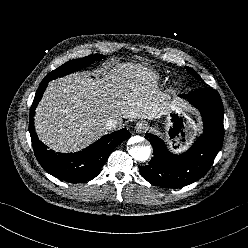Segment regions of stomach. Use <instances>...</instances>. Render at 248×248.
Instances as JSON below:
<instances>
[{"mask_svg":"<svg viewBox=\"0 0 248 248\" xmlns=\"http://www.w3.org/2000/svg\"><path fill=\"white\" fill-rule=\"evenodd\" d=\"M197 127L196 122L180 106L168 104L164 133L169 143L177 147L178 151L186 149L192 142Z\"/></svg>","mask_w":248,"mask_h":248,"instance_id":"1","label":"stomach"}]
</instances>
